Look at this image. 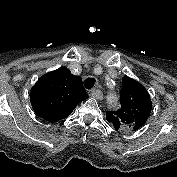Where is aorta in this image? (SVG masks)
<instances>
[{
	"label": "aorta",
	"instance_id": "aorta-1",
	"mask_svg": "<svg viewBox=\"0 0 177 177\" xmlns=\"http://www.w3.org/2000/svg\"><path fill=\"white\" fill-rule=\"evenodd\" d=\"M111 99H113L114 98V96L113 95H111V97H110Z\"/></svg>",
	"mask_w": 177,
	"mask_h": 177
}]
</instances>
